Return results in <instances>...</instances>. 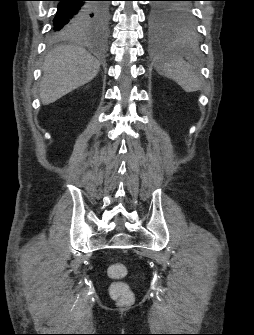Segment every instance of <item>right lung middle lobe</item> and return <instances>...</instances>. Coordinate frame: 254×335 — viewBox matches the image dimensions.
I'll list each match as a JSON object with an SVG mask.
<instances>
[{
	"mask_svg": "<svg viewBox=\"0 0 254 335\" xmlns=\"http://www.w3.org/2000/svg\"><path fill=\"white\" fill-rule=\"evenodd\" d=\"M97 8L99 12L98 19L96 22L92 24L91 33L88 35L104 33L106 30V26L108 22V12H109L108 3L99 2L97 4ZM78 35H87V34H84L80 32L79 30H76L74 32H67V33L60 34V35L51 34L50 39L51 41H58V40H62V39H66V38L78 36Z\"/></svg>",
	"mask_w": 254,
	"mask_h": 335,
	"instance_id": "obj_1",
	"label": "right lung middle lobe"
}]
</instances>
